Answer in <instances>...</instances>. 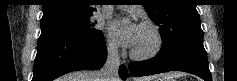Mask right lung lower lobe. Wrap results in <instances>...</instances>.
I'll list each match as a JSON object with an SVG mask.
<instances>
[{
	"label": "right lung lower lobe",
	"instance_id": "obj_1",
	"mask_svg": "<svg viewBox=\"0 0 237 81\" xmlns=\"http://www.w3.org/2000/svg\"><path fill=\"white\" fill-rule=\"evenodd\" d=\"M107 57L104 37L88 39L65 33L41 32L34 61L32 81H52L76 70H97ZM119 75L127 77L120 66Z\"/></svg>",
	"mask_w": 237,
	"mask_h": 81
}]
</instances>
